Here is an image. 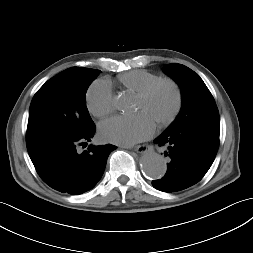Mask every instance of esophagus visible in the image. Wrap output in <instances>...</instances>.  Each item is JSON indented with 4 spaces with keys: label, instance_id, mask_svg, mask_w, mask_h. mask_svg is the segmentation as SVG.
Segmentation results:
<instances>
[{
    "label": "esophagus",
    "instance_id": "1",
    "mask_svg": "<svg viewBox=\"0 0 253 253\" xmlns=\"http://www.w3.org/2000/svg\"><path fill=\"white\" fill-rule=\"evenodd\" d=\"M134 150L137 153H145L149 150V145H147V144L138 145L134 148Z\"/></svg>",
    "mask_w": 253,
    "mask_h": 253
}]
</instances>
